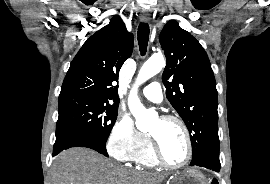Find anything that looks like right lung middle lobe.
<instances>
[{
    "label": "right lung middle lobe",
    "mask_w": 270,
    "mask_h": 184,
    "mask_svg": "<svg viewBox=\"0 0 270 184\" xmlns=\"http://www.w3.org/2000/svg\"><path fill=\"white\" fill-rule=\"evenodd\" d=\"M117 114L118 105L104 101L87 97L59 99L56 133L83 132L106 143Z\"/></svg>",
    "instance_id": "right-lung-middle-lobe-1"
}]
</instances>
